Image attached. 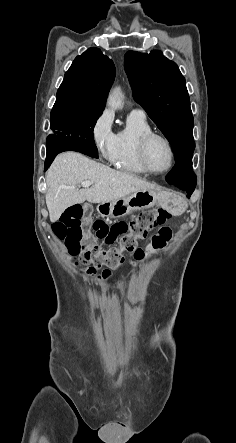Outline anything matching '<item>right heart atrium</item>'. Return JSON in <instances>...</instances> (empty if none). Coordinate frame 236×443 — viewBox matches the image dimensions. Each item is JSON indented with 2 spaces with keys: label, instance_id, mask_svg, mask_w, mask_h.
<instances>
[{
  "label": "right heart atrium",
  "instance_id": "1",
  "mask_svg": "<svg viewBox=\"0 0 236 443\" xmlns=\"http://www.w3.org/2000/svg\"><path fill=\"white\" fill-rule=\"evenodd\" d=\"M113 117L109 110H103L93 121L90 139L100 156L112 162L116 151V134L112 130Z\"/></svg>",
  "mask_w": 236,
  "mask_h": 443
}]
</instances>
